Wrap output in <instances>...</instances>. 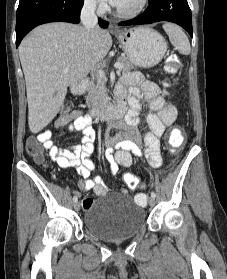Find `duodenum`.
<instances>
[{
    "instance_id": "obj_1",
    "label": "duodenum",
    "mask_w": 227,
    "mask_h": 279,
    "mask_svg": "<svg viewBox=\"0 0 227 279\" xmlns=\"http://www.w3.org/2000/svg\"><path fill=\"white\" fill-rule=\"evenodd\" d=\"M89 83L88 78H83L79 83L72 87L73 95L79 96L84 93ZM126 108L122 102L113 106H101L93 112V115L100 120L103 119H121L125 114Z\"/></svg>"
}]
</instances>
